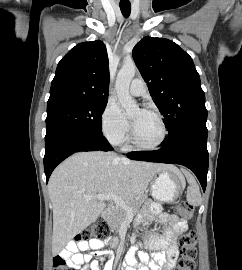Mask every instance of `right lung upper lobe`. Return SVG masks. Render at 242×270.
Wrapping results in <instances>:
<instances>
[{
  "label": "right lung upper lobe",
  "instance_id": "1",
  "mask_svg": "<svg viewBox=\"0 0 242 270\" xmlns=\"http://www.w3.org/2000/svg\"><path fill=\"white\" fill-rule=\"evenodd\" d=\"M109 69L102 41L73 47L58 63L47 105L65 101H108Z\"/></svg>",
  "mask_w": 242,
  "mask_h": 270
}]
</instances>
